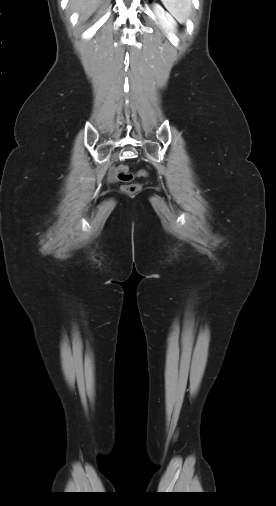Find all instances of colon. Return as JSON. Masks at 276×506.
I'll return each instance as SVG.
<instances>
[{"label":"colon","mask_w":276,"mask_h":506,"mask_svg":"<svg viewBox=\"0 0 276 506\" xmlns=\"http://www.w3.org/2000/svg\"><path fill=\"white\" fill-rule=\"evenodd\" d=\"M116 175L118 179L124 182L123 190L127 193H136L139 191L140 186L137 184H132L130 181L133 178V175L129 172V169L126 165L120 164L116 167ZM139 175L145 176V171H140Z\"/></svg>","instance_id":"5ec220e1"}]
</instances>
